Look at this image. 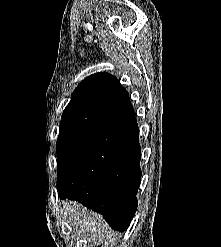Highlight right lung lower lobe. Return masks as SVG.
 <instances>
[{"mask_svg": "<svg viewBox=\"0 0 221 247\" xmlns=\"http://www.w3.org/2000/svg\"><path fill=\"white\" fill-rule=\"evenodd\" d=\"M133 111L79 133L58 158L60 199L99 212L124 232L137 210L141 148Z\"/></svg>", "mask_w": 221, "mask_h": 247, "instance_id": "1", "label": "right lung lower lobe"}]
</instances>
